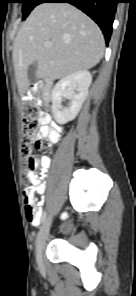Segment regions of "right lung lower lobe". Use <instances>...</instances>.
Instances as JSON below:
<instances>
[{"mask_svg": "<svg viewBox=\"0 0 136 296\" xmlns=\"http://www.w3.org/2000/svg\"><path fill=\"white\" fill-rule=\"evenodd\" d=\"M41 3H70L76 6L99 25L108 44L119 0H42Z\"/></svg>", "mask_w": 136, "mask_h": 296, "instance_id": "1", "label": "right lung lower lobe"}]
</instances>
